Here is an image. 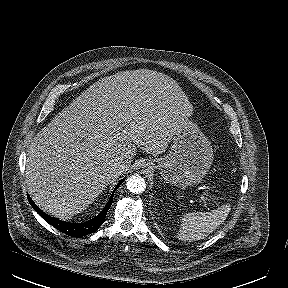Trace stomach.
<instances>
[{
  "mask_svg": "<svg viewBox=\"0 0 288 288\" xmlns=\"http://www.w3.org/2000/svg\"><path fill=\"white\" fill-rule=\"evenodd\" d=\"M213 162V150L208 138L196 124L187 121L173 137L169 154L144 163L146 170L160 171L172 185L185 188L200 183Z\"/></svg>",
  "mask_w": 288,
  "mask_h": 288,
  "instance_id": "1",
  "label": "stomach"
}]
</instances>
